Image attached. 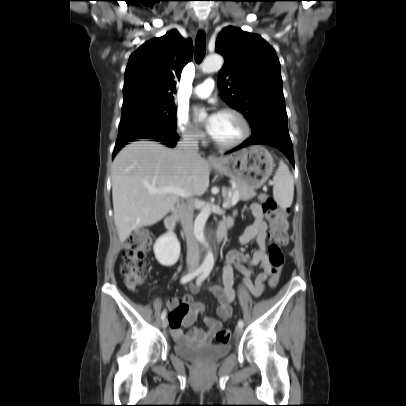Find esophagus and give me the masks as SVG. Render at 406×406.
Returning <instances> with one entry per match:
<instances>
[{
  "label": "esophagus",
  "instance_id": "obj_1",
  "mask_svg": "<svg viewBox=\"0 0 406 406\" xmlns=\"http://www.w3.org/2000/svg\"><path fill=\"white\" fill-rule=\"evenodd\" d=\"M199 27L204 31H208V27H209L208 22L207 21H200L199 22ZM207 161L210 164H215V163L219 162V159H218L217 156L211 154V155L208 156Z\"/></svg>",
  "mask_w": 406,
  "mask_h": 406
}]
</instances>
